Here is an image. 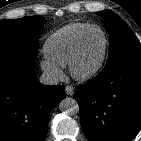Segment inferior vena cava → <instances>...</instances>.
<instances>
[{"label":"inferior vena cava","mask_w":141,"mask_h":141,"mask_svg":"<svg viewBox=\"0 0 141 141\" xmlns=\"http://www.w3.org/2000/svg\"><path fill=\"white\" fill-rule=\"evenodd\" d=\"M40 82L44 85H57L59 79L52 73L45 72L40 76Z\"/></svg>","instance_id":"1"}]
</instances>
